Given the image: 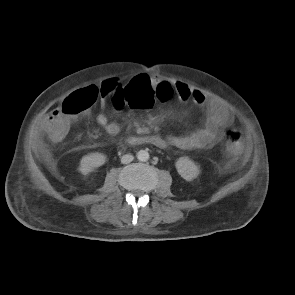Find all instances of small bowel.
<instances>
[{
    "instance_id": "1",
    "label": "small bowel",
    "mask_w": 295,
    "mask_h": 295,
    "mask_svg": "<svg viewBox=\"0 0 295 295\" xmlns=\"http://www.w3.org/2000/svg\"><path fill=\"white\" fill-rule=\"evenodd\" d=\"M104 84L105 83L102 84L101 90H103ZM163 85L171 86L175 96L181 102L191 101L206 111L207 117L204 127L185 135H169L167 137H161L159 135L132 136L127 142L131 145L148 143L162 149L173 146L182 150L204 149L212 145L219 131L231 121V114L223 104L207 99L201 91L194 89L183 82H169L143 73L137 74L127 80L125 87L149 86L154 87L155 89L156 87ZM102 94L103 97L109 96L104 92H102ZM105 108L106 103L103 101L101 110L97 115V122L107 133L110 135H116L120 131V126L117 122L109 119ZM54 120L55 111L51 112L43 120L42 128L46 133Z\"/></svg>"
}]
</instances>
